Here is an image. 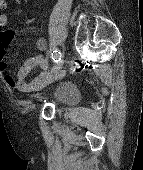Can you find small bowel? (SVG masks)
<instances>
[{
  "instance_id": "obj_1",
  "label": "small bowel",
  "mask_w": 143,
  "mask_h": 170,
  "mask_svg": "<svg viewBox=\"0 0 143 170\" xmlns=\"http://www.w3.org/2000/svg\"><path fill=\"white\" fill-rule=\"evenodd\" d=\"M19 2L20 0H15ZM9 18L6 14L0 13V75H2L5 84L11 88H16L23 92H31L40 89L46 84L48 75L49 62L43 55L38 54L25 60L19 68L16 77H13L8 72L7 63L4 60V48L9 45L17 37L16 32L7 29ZM47 41L45 38L37 40V48L40 51L45 50ZM40 69L41 73L32 81L27 79L33 70Z\"/></svg>"
}]
</instances>
